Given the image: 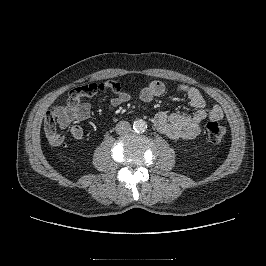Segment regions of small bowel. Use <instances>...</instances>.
<instances>
[{
  "mask_svg": "<svg viewBox=\"0 0 266 266\" xmlns=\"http://www.w3.org/2000/svg\"><path fill=\"white\" fill-rule=\"evenodd\" d=\"M166 91L165 85L158 80L152 81L140 92L143 102H151L154 98L163 95ZM178 93L185 96L190 106L194 109L191 115L183 113H157L154 118L156 130L173 140H189L197 137L200 133V124L205 119L220 120L224 114L222 109L215 105L206 109V102L198 89L187 84H181L177 88ZM130 100L127 92H119L109 101V105L116 107ZM54 122L48 128L45 122L44 130L48 141L55 146L61 145L65 137L60 130H68L74 139H81L84 135L80 126L72 125L74 121H85L90 117L91 106L82 97H69L65 105H58L51 111Z\"/></svg>",
  "mask_w": 266,
  "mask_h": 266,
  "instance_id": "small-bowel-1",
  "label": "small bowel"
}]
</instances>
